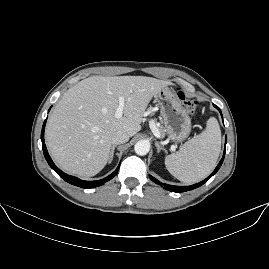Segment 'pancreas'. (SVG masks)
Returning <instances> with one entry per match:
<instances>
[{
  "label": "pancreas",
  "instance_id": "obj_1",
  "mask_svg": "<svg viewBox=\"0 0 269 269\" xmlns=\"http://www.w3.org/2000/svg\"><path fill=\"white\" fill-rule=\"evenodd\" d=\"M158 130H159V136L163 137L164 136V130L161 127L158 128Z\"/></svg>",
  "mask_w": 269,
  "mask_h": 269
}]
</instances>
